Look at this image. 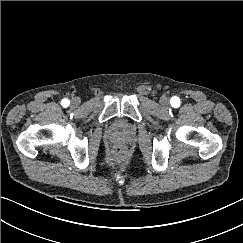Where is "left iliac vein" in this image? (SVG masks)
Returning <instances> with one entry per match:
<instances>
[{
	"label": "left iliac vein",
	"mask_w": 243,
	"mask_h": 243,
	"mask_svg": "<svg viewBox=\"0 0 243 243\" xmlns=\"http://www.w3.org/2000/svg\"><path fill=\"white\" fill-rule=\"evenodd\" d=\"M160 103L163 107H168L169 105V100L166 97H161Z\"/></svg>",
	"instance_id": "left-iliac-vein-1"
}]
</instances>
